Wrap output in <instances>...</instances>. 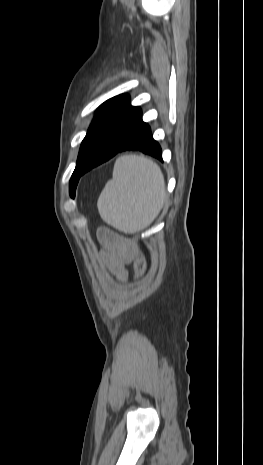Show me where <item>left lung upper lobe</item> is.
<instances>
[{"label":"left lung upper lobe","instance_id":"left-lung-upper-lobe-1","mask_svg":"<svg viewBox=\"0 0 263 465\" xmlns=\"http://www.w3.org/2000/svg\"><path fill=\"white\" fill-rule=\"evenodd\" d=\"M129 105V96L122 94L107 100L97 109L95 118L93 119L90 128L88 129L87 135L82 141L76 168L70 180L71 197L75 196L76 186L80 176L82 175V167L87 162L99 138L107 129V127L116 119V117Z\"/></svg>","mask_w":263,"mask_h":465}]
</instances>
